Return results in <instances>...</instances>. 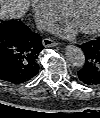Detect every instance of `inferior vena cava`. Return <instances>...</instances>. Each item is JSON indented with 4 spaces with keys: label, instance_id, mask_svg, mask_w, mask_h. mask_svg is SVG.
<instances>
[{
    "label": "inferior vena cava",
    "instance_id": "1",
    "mask_svg": "<svg viewBox=\"0 0 100 118\" xmlns=\"http://www.w3.org/2000/svg\"><path fill=\"white\" fill-rule=\"evenodd\" d=\"M35 23L40 31H49L51 28V23L45 19H36Z\"/></svg>",
    "mask_w": 100,
    "mask_h": 118
}]
</instances>
